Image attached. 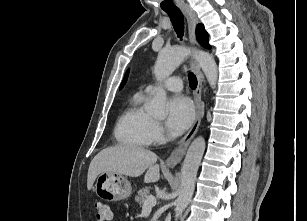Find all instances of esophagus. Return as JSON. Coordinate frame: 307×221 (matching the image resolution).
Masks as SVG:
<instances>
[{
  "mask_svg": "<svg viewBox=\"0 0 307 221\" xmlns=\"http://www.w3.org/2000/svg\"><path fill=\"white\" fill-rule=\"evenodd\" d=\"M182 12L184 13L187 24H188V34H189V40L191 45L195 46L197 44L196 40V25L198 22L197 16L193 9L185 4L181 7ZM192 67L193 70L197 76V87L194 91V103H195V118L194 122L189 129V131L185 134V136L180 140L177 147L172 151L170 156L166 159V165L169 167H175L177 164H179L184 157L186 150L195 136V134L198 131V128L201 123V119L204 115V103L202 102V82H203V75L200 70V66L196 60H192Z\"/></svg>",
  "mask_w": 307,
  "mask_h": 221,
  "instance_id": "esophagus-1",
  "label": "esophagus"
}]
</instances>
